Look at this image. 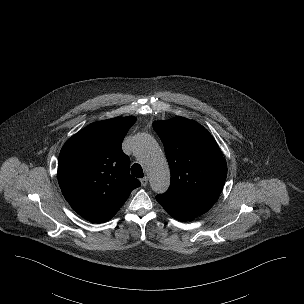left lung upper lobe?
I'll return each mask as SVG.
<instances>
[{
  "mask_svg": "<svg viewBox=\"0 0 304 304\" xmlns=\"http://www.w3.org/2000/svg\"><path fill=\"white\" fill-rule=\"evenodd\" d=\"M153 128L163 142L171 171L169 189L156 198L195 216L206 213L227 176L216 141L203 126L183 117L154 122Z\"/></svg>",
  "mask_w": 304,
  "mask_h": 304,
  "instance_id": "obj_1",
  "label": "left lung upper lobe"
}]
</instances>
